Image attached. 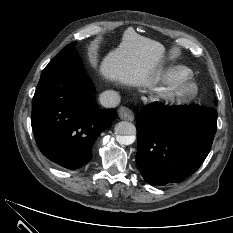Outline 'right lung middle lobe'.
<instances>
[{
	"instance_id": "dd1d6c3e",
	"label": "right lung middle lobe",
	"mask_w": 233,
	"mask_h": 233,
	"mask_svg": "<svg viewBox=\"0 0 233 233\" xmlns=\"http://www.w3.org/2000/svg\"><path fill=\"white\" fill-rule=\"evenodd\" d=\"M76 42L68 44L60 53L76 52L74 49Z\"/></svg>"
}]
</instances>
